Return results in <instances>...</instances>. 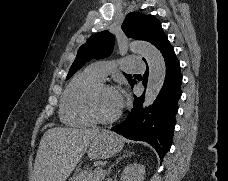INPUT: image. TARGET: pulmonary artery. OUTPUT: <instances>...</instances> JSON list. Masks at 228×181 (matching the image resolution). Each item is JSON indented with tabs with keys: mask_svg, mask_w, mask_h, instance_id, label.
Segmentation results:
<instances>
[{
	"mask_svg": "<svg viewBox=\"0 0 228 181\" xmlns=\"http://www.w3.org/2000/svg\"><path fill=\"white\" fill-rule=\"evenodd\" d=\"M122 62H125V67H129L130 71H145V66H137L136 62H139V57H122ZM115 62H93V65H89V70H86V75H94L96 78L103 80L110 71H119L120 67L115 66Z\"/></svg>",
	"mask_w": 228,
	"mask_h": 181,
	"instance_id": "e3ab8cb5",
	"label": "pulmonary artery"
}]
</instances>
